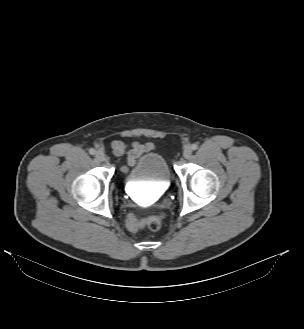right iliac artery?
Instances as JSON below:
<instances>
[{
	"mask_svg": "<svg viewBox=\"0 0 304 329\" xmlns=\"http://www.w3.org/2000/svg\"><path fill=\"white\" fill-rule=\"evenodd\" d=\"M89 153H90L91 155H94V154H96V151H95V149L91 148V149L89 150Z\"/></svg>",
	"mask_w": 304,
	"mask_h": 329,
	"instance_id": "right-iliac-artery-1",
	"label": "right iliac artery"
}]
</instances>
